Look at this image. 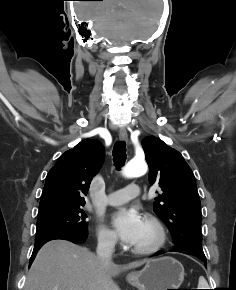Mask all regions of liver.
Here are the masks:
<instances>
[{"instance_id":"6515ba94","label":"liver","mask_w":236,"mask_h":290,"mask_svg":"<svg viewBox=\"0 0 236 290\" xmlns=\"http://www.w3.org/2000/svg\"><path fill=\"white\" fill-rule=\"evenodd\" d=\"M103 263L87 248L65 240H52L39 250L27 275L24 290H120L112 277L139 267Z\"/></svg>"}]
</instances>
